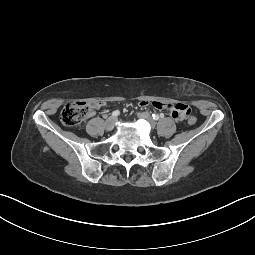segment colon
Here are the masks:
<instances>
[{
    "label": "colon",
    "mask_w": 255,
    "mask_h": 255,
    "mask_svg": "<svg viewBox=\"0 0 255 255\" xmlns=\"http://www.w3.org/2000/svg\"><path fill=\"white\" fill-rule=\"evenodd\" d=\"M91 107L90 104L82 101L69 102L61 111V120L67 126H77L89 115ZM187 121L189 124H195L196 117L190 115Z\"/></svg>",
    "instance_id": "colon-1"
}]
</instances>
